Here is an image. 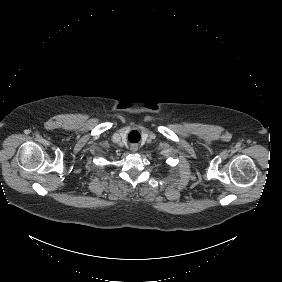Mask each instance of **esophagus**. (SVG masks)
Masks as SVG:
<instances>
[{"label": "esophagus", "mask_w": 282, "mask_h": 282, "mask_svg": "<svg viewBox=\"0 0 282 282\" xmlns=\"http://www.w3.org/2000/svg\"><path fill=\"white\" fill-rule=\"evenodd\" d=\"M130 150L133 151V152H135V151L138 150V146H136V147H130Z\"/></svg>", "instance_id": "obj_1"}]
</instances>
